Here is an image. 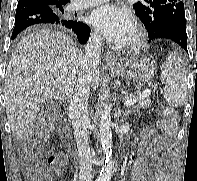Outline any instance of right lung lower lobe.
Returning a JSON list of instances; mask_svg holds the SVG:
<instances>
[{"instance_id": "right-lung-lower-lobe-1", "label": "right lung lower lobe", "mask_w": 197, "mask_h": 181, "mask_svg": "<svg viewBox=\"0 0 197 181\" xmlns=\"http://www.w3.org/2000/svg\"><path fill=\"white\" fill-rule=\"evenodd\" d=\"M57 25L72 30L80 43L85 44L90 36V28L83 22L65 20L51 6L35 0H19L15 16L14 39L21 31L32 25Z\"/></svg>"}]
</instances>
